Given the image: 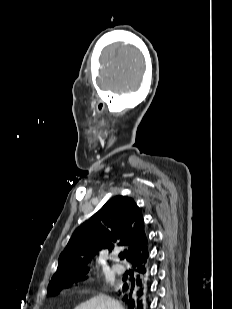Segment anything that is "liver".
<instances>
[{
  "label": "liver",
  "instance_id": "6515ba94",
  "mask_svg": "<svg viewBox=\"0 0 232 309\" xmlns=\"http://www.w3.org/2000/svg\"><path fill=\"white\" fill-rule=\"evenodd\" d=\"M75 309H124L121 304L106 295L94 296L90 300L80 304Z\"/></svg>",
  "mask_w": 232,
  "mask_h": 309
}]
</instances>
